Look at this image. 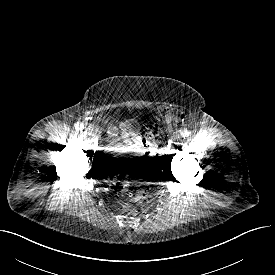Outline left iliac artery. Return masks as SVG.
I'll use <instances>...</instances> for the list:
<instances>
[{
    "label": "left iliac artery",
    "instance_id": "44dca946",
    "mask_svg": "<svg viewBox=\"0 0 275 275\" xmlns=\"http://www.w3.org/2000/svg\"><path fill=\"white\" fill-rule=\"evenodd\" d=\"M191 132L188 131L187 129H184L182 132H181V135L182 137H188L190 136Z\"/></svg>",
    "mask_w": 275,
    "mask_h": 275
}]
</instances>
